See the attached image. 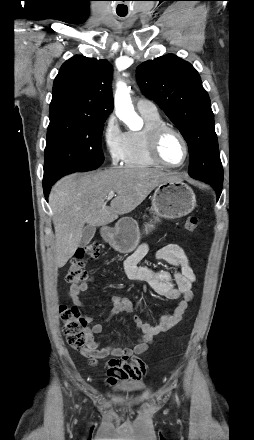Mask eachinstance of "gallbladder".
Instances as JSON below:
<instances>
[{
    "mask_svg": "<svg viewBox=\"0 0 254 440\" xmlns=\"http://www.w3.org/2000/svg\"><path fill=\"white\" fill-rule=\"evenodd\" d=\"M95 232H96V228L94 226L86 225L82 232V237L79 244L80 247H85L86 245H88L92 240V238L94 237Z\"/></svg>",
    "mask_w": 254,
    "mask_h": 440,
    "instance_id": "gallbladder-1",
    "label": "gallbladder"
}]
</instances>
